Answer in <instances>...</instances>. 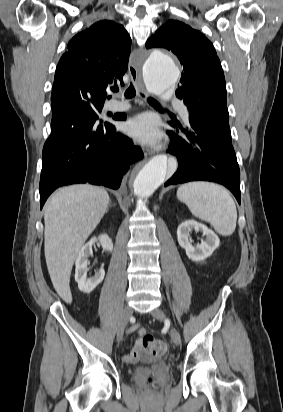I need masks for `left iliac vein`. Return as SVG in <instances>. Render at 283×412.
Returning a JSON list of instances; mask_svg holds the SVG:
<instances>
[{"label":"left iliac vein","instance_id":"1","mask_svg":"<svg viewBox=\"0 0 283 412\" xmlns=\"http://www.w3.org/2000/svg\"><path fill=\"white\" fill-rule=\"evenodd\" d=\"M151 315L156 318L157 320L163 321L166 320V315L164 311L160 308H156L152 310ZM170 336L172 338V341L174 342L175 345H180L181 343V336L179 332L174 328L171 327L170 329Z\"/></svg>","mask_w":283,"mask_h":412}]
</instances>
